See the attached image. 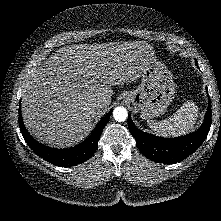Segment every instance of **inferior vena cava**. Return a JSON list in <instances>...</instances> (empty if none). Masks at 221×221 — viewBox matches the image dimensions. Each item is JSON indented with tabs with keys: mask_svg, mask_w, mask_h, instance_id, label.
Returning <instances> with one entry per match:
<instances>
[{
	"mask_svg": "<svg viewBox=\"0 0 221 221\" xmlns=\"http://www.w3.org/2000/svg\"><path fill=\"white\" fill-rule=\"evenodd\" d=\"M93 106L96 108V109H100L104 106V101L103 100H97L93 103Z\"/></svg>",
	"mask_w": 221,
	"mask_h": 221,
	"instance_id": "602c4592",
	"label": "inferior vena cava"
}]
</instances>
